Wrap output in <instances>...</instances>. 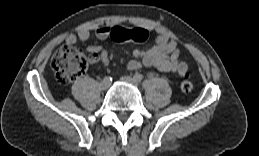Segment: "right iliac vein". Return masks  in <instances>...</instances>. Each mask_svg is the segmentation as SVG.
<instances>
[{
	"label": "right iliac vein",
	"mask_w": 259,
	"mask_h": 156,
	"mask_svg": "<svg viewBox=\"0 0 259 156\" xmlns=\"http://www.w3.org/2000/svg\"><path fill=\"white\" fill-rule=\"evenodd\" d=\"M110 84H111L110 81L103 79V81L101 82L100 86H101V88L103 90H106V89L109 88Z\"/></svg>",
	"instance_id": "obj_1"
}]
</instances>
